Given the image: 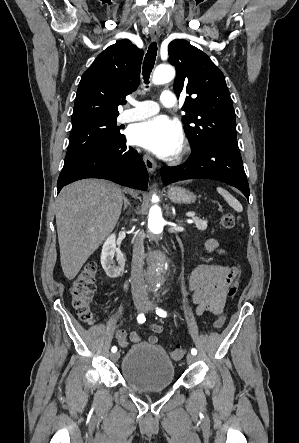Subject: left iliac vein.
I'll return each instance as SVG.
<instances>
[{
	"label": "left iliac vein",
	"mask_w": 299,
	"mask_h": 443,
	"mask_svg": "<svg viewBox=\"0 0 299 443\" xmlns=\"http://www.w3.org/2000/svg\"><path fill=\"white\" fill-rule=\"evenodd\" d=\"M152 309V304L151 303H147L144 306V311L148 312ZM195 361V355H193L192 353L187 354V363L188 364H192Z\"/></svg>",
	"instance_id": "1"
}]
</instances>
